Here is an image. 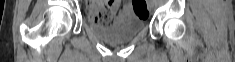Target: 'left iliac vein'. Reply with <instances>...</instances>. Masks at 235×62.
Returning <instances> with one entry per match:
<instances>
[{"label":"left iliac vein","instance_id":"1","mask_svg":"<svg viewBox=\"0 0 235 62\" xmlns=\"http://www.w3.org/2000/svg\"><path fill=\"white\" fill-rule=\"evenodd\" d=\"M149 7L153 8V2L152 1L149 2Z\"/></svg>","mask_w":235,"mask_h":62}]
</instances>
